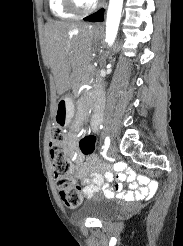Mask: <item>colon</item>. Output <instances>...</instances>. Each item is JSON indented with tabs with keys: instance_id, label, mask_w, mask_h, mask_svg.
<instances>
[{
	"instance_id": "obj_1",
	"label": "colon",
	"mask_w": 183,
	"mask_h": 246,
	"mask_svg": "<svg viewBox=\"0 0 183 246\" xmlns=\"http://www.w3.org/2000/svg\"><path fill=\"white\" fill-rule=\"evenodd\" d=\"M66 119V113H58V124L51 129L50 154L52 169L56 178V184L64 205L70 209H76L82 202L80 179H72L71 164L67 159L66 136L62 124ZM97 133H86L81 138L79 152L85 157H97L96 151Z\"/></svg>"
}]
</instances>
